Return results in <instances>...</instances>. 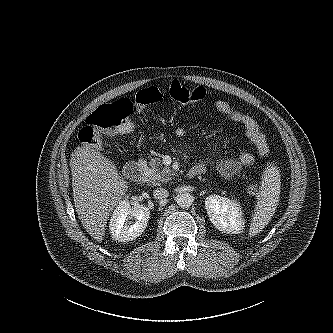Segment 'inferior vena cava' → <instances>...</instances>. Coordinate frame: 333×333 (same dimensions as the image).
Listing matches in <instances>:
<instances>
[{
	"label": "inferior vena cava",
	"instance_id": "602c4592",
	"mask_svg": "<svg viewBox=\"0 0 333 333\" xmlns=\"http://www.w3.org/2000/svg\"><path fill=\"white\" fill-rule=\"evenodd\" d=\"M169 195V192L164 188H157L153 191V196L155 199L162 200L164 198H167Z\"/></svg>",
	"mask_w": 333,
	"mask_h": 333
}]
</instances>
